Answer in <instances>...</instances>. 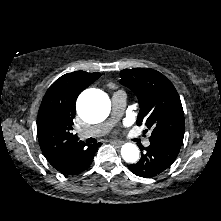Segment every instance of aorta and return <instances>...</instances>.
Returning a JSON list of instances; mask_svg holds the SVG:
<instances>
[{"label": "aorta", "instance_id": "aorta-1", "mask_svg": "<svg viewBox=\"0 0 221 221\" xmlns=\"http://www.w3.org/2000/svg\"><path fill=\"white\" fill-rule=\"evenodd\" d=\"M109 101L100 93H84L77 101V112L86 122L103 120L109 112ZM121 155L126 162L134 163L139 158V149L133 143H125L121 148Z\"/></svg>", "mask_w": 221, "mask_h": 221}]
</instances>
